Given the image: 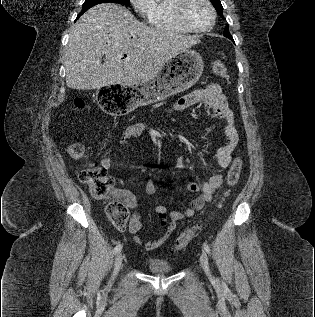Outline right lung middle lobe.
Returning <instances> with one entry per match:
<instances>
[{"mask_svg":"<svg viewBox=\"0 0 315 317\" xmlns=\"http://www.w3.org/2000/svg\"><path fill=\"white\" fill-rule=\"evenodd\" d=\"M100 3H118V4H123L128 6L130 4V0H85L82 6V11L79 14V16L83 14L85 11H87L89 8Z\"/></svg>","mask_w":315,"mask_h":317,"instance_id":"1","label":"right lung middle lobe"}]
</instances>
